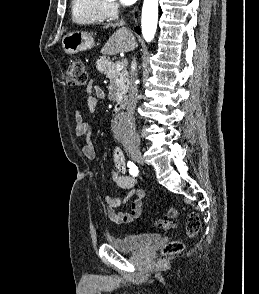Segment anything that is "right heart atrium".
Masks as SVG:
<instances>
[{
    "mask_svg": "<svg viewBox=\"0 0 259 294\" xmlns=\"http://www.w3.org/2000/svg\"><path fill=\"white\" fill-rule=\"evenodd\" d=\"M103 9L107 19H113L119 12L118 4L114 0H103Z\"/></svg>",
    "mask_w": 259,
    "mask_h": 294,
    "instance_id": "d8ad5b80",
    "label": "right heart atrium"
}]
</instances>
